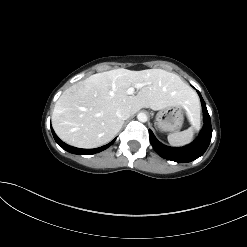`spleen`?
<instances>
[{
	"instance_id": "spleen-1",
	"label": "spleen",
	"mask_w": 247,
	"mask_h": 247,
	"mask_svg": "<svg viewBox=\"0 0 247 247\" xmlns=\"http://www.w3.org/2000/svg\"><path fill=\"white\" fill-rule=\"evenodd\" d=\"M188 117L192 126L184 131L169 134L167 138L170 145L179 147L192 142L194 137V130L200 123L199 104L197 107L189 111Z\"/></svg>"
}]
</instances>
